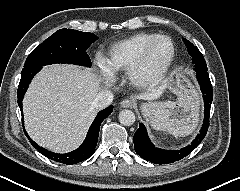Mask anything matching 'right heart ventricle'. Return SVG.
<instances>
[{
	"instance_id": "e07e8e85",
	"label": "right heart ventricle",
	"mask_w": 240,
	"mask_h": 191,
	"mask_svg": "<svg viewBox=\"0 0 240 191\" xmlns=\"http://www.w3.org/2000/svg\"><path fill=\"white\" fill-rule=\"evenodd\" d=\"M157 33L142 32L110 46L108 63L115 73L126 72Z\"/></svg>"
}]
</instances>
